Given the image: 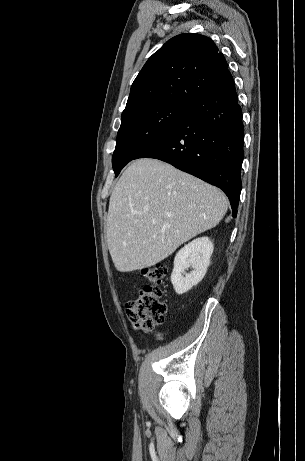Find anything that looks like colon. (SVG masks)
Here are the masks:
<instances>
[{
  "mask_svg": "<svg viewBox=\"0 0 305 461\" xmlns=\"http://www.w3.org/2000/svg\"><path fill=\"white\" fill-rule=\"evenodd\" d=\"M168 272L165 264L159 263L146 268L143 276L148 280L139 295L126 304V315L136 330L151 332L165 320L167 306L162 300L163 280Z\"/></svg>",
  "mask_w": 305,
  "mask_h": 461,
  "instance_id": "colon-1",
  "label": "colon"
}]
</instances>
